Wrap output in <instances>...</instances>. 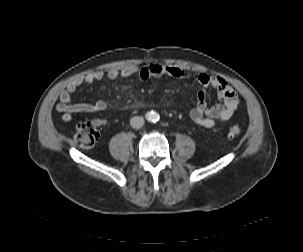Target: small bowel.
<instances>
[{"label":"small bowel","mask_w":303,"mask_h":252,"mask_svg":"<svg viewBox=\"0 0 303 252\" xmlns=\"http://www.w3.org/2000/svg\"><path fill=\"white\" fill-rule=\"evenodd\" d=\"M137 75L141 80L151 77H172L185 79L190 75L184 70L173 65L150 64L145 67L134 65L122 69L97 70L80 76L69 83L59 95L56 110L61 114L63 122H70L74 113L102 112L107 109L104 100H97L93 103H73L71 98L77 93L83 84H92L103 79L115 80L117 78H129ZM196 81L202 85L197 95L195 106L191 109L189 117L197 125L212 128L228 121L238 109L241 98L236 91L221 77L209 74H195ZM216 90L220 102L212 107L207 105L208 90ZM97 124L105 126L107 120L98 119Z\"/></svg>","instance_id":"obj_1"}]
</instances>
